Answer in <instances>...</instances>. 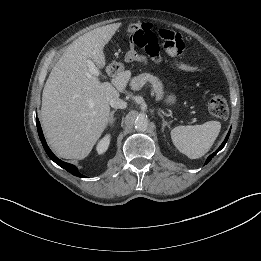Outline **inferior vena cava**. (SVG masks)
<instances>
[{
    "instance_id": "obj_1",
    "label": "inferior vena cava",
    "mask_w": 261,
    "mask_h": 261,
    "mask_svg": "<svg viewBox=\"0 0 261 261\" xmlns=\"http://www.w3.org/2000/svg\"><path fill=\"white\" fill-rule=\"evenodd\" d=\"M110 105H111V107H113L115 109H124L127 107V103L125 101L119 99L118 97L112 98L110 100Z\"/></svg>"
}]
</instances>
